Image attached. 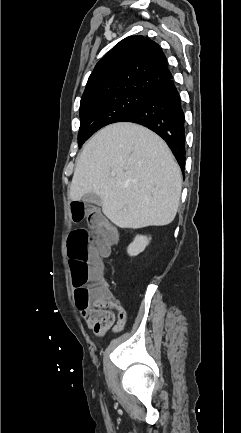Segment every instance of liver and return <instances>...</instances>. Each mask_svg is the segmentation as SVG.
Returning <instances> with one entry per match:
<instances>
[{"label":"liver","instance_id":"1","mask_svg":"<svg viewBox=\"0 0 241 433\" xmlns=\"http://www.w3.org/2000/svg\"><path fill=\"white\" fill-rule=\"evenodd\" d=\"M182 175L167 144L130 122L108 125L83 147L69 190L72 201L100 196L104 215L120 228L170 224L177 213Z\"/></svg>","mask_w":241,"mask_h":433}]
</instances>
